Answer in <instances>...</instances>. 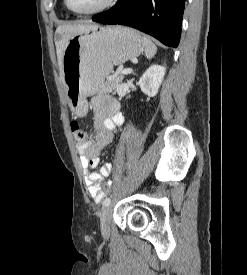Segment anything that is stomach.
<instances>
[{
  "mask_svg": "<svg viewBox=\"0 0 247 275\" xmlns=\"http://www.w3.org/2000/svg\"><path fill=\"white\" fill-rule=\"evenodd\" d=\"M142 52L139 34L126 27H101L70 38L62 64L71 112L85 116L88 111L86 98L99 91L113 67Z\"/></svg>",
  "mask_w": 247,
  "mask_h": 275,
  "instance_id": "stomach-1",
  "label": "stomach"
}]
</instances>
